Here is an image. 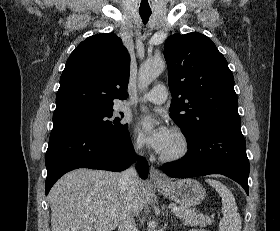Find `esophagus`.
Instances as JSON below:
<instances>
[{"instance_id":"obj_1","label":"esophagus","mask_w":280,"mask_h":231,"mask_svg":"<svg viewBox=\"0 0 280 231\" xmlns=\"http://www.w3.org/2000/svg\"><path fill=\"white\" fill-rule=\"evenodd\" d=\"M166 177L159 172L154 166L150 167V180L151 181H164Z\"/></svg>"}]
</instances>
